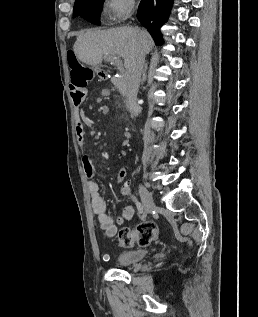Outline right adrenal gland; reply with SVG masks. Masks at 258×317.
<instances>
[{
  "label": "right adrenal gland",
  "mask_w": 258,
  "mask_h": 317,
  "mask_svg": "<svg viewBox=\"0 0 258 317\" xmlns=\"http://www.w3.org/2000/svg\"><path fill=\"white\" fill-rule=\"evenodd\" d=\"M148 66L147 64H145L144 68H143V72H142V80H141V84H143L144 80H146V70H147Z\"/></svg>",
  "instance_id": "obj_1"
}]
</instances>
